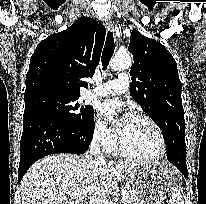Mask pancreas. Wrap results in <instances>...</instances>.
<instances>
[{
    "label": "pancreas",
    "mask_w": 206,
    "mask_h": 204,
    "mask_svg": "<svg viewBox=\"0 0 206 204\" xmlns=\"http://www.w3.org/2000/svg\"><path fill=\"white\" fill-rule=\"evenodd\" d=\"M127 189V196L124 197L122 200L123 204H139L138 203V197L133 193L132 189L130 186L126 187Z\"/></svg>",
    "instance_id": "pancreas-1"
}]
</instances>
